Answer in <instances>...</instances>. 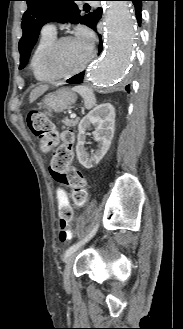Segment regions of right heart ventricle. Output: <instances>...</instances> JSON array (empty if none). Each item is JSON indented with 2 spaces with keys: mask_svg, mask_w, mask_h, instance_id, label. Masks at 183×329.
<instances>
[{
  "mask_svg": "<svg viewBox=\"0 0 183 329\" xmlns=\"http://www.w3.org/2000/svg\"><path fill=\"white\" fill-rule=\"evenodd\" d=\"M56 34L46 33L42 31V34L33 50L30 66L33 71L34 77L41 82H49L53 79L48 74L45 69V56L51 46L55 41Z\"/></svg>",
  "mask_w": 183,
  "mask_h": 329,
  "instance_id": "1",
  "label": "right heart ventricle"
}]
</instances>
